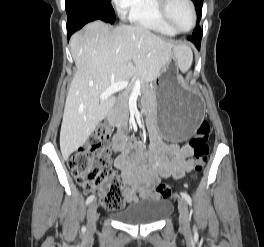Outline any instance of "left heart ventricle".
I'll use <instances>...</instances> for the list:
<instances>
[{"instance_id":"obj_1","label":"left heart ventricle","mask_w":264,"mask_h":247,"mask_svg":"<svg viewBox=\"0 0 264 247\" xmlns=\"http://www.w3.org/2000/svg\"><path fill=\"white\" fill-rule=\"evenodd\" d=\"M169 15L174 25L180 29L188 28L192 22V13L186 0H171Z\"/></svg>"}]
</instances>
